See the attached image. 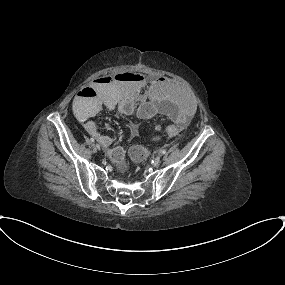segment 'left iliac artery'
Masks as SVG:
<instances>
[{
  "label": "left iliac artery",
  "mask_w": 285,
  "mask_h": 285,
  "mask_svg": "<svg viewBox=\"0 0 285 285\" xmlns=\"http://www.w3.org/2000/svg\"><path fill=\"white\" fill-rule=\"evenodd\" d=\"M161 153H162V154H165V153H166V150H161Z\"/></svg>",
  "instance_id": "obj_1"
}]
</instances>
